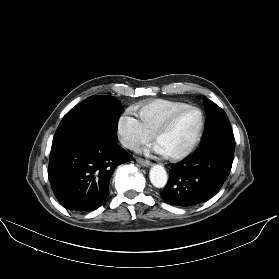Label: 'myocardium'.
<instances>
[{"label":"myocardium","instance_id":"1","mask_svg":"<svg viewBox=\"0 0 279 279\" xmlns=\"http://www.w3.org/2000/svg\"><path fill=\"white\" fill-rule=\"evenodd\" d=\"M186 110H195L198 114H199V125H198V128L196 130V133L194 135V137L192 138L190 144L187 146V148L178 153V154H175V155H170V156H167V158L170 160V161H181L185 158H187L192 152L193 150L195 149V147L197 146L199 140H200V137L202 135V132H203V128H204V115L202 113V111L196 107V106H193V105H186V106H183L177 110H175L174 112H172L168 117L167 119L163 122V124L155 131V133L153 134V139L155 142H157V140L162 136L164 135L166 132L169 131V129L171 128V126L173 125L174 121L176 120V118L181 114L183 113L184 111Z\"/></svg>","mask_w":279,"mask_h":279}]
</instances>
